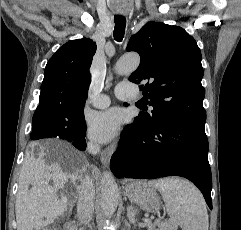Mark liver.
I'll return each mask as SVG.
<instances>
[{"instance_id":"liver-1","label":"liver","mask_w":241,"mask_h":230,"mask_svg":"<svg viewBox=\"0 0 241 230\" xmlns=\"http://www.w3.org/2000/svg\"><path fill=\"white\" fill-rule=\"evenodd\" d=\"M35 146L40 148L38 157L27 152L20 172L15 203L17 230H40L71 209L72 202L59 200L57 192L71 182L76 189L71 195L73 199L79 194L78 182L83 181L86 173L85 159L70 144L54 141L50 150L38 143L31 148ZM49 155L57 160L48 162Z\"/></svg>"}]
</instances>
